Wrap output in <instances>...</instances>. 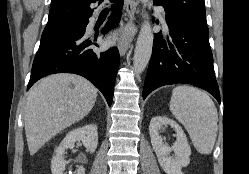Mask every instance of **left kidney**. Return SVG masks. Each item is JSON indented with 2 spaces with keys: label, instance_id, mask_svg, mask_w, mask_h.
Here are the masks:
<instances>
[{
  "label": "left kidney",
  "instance_id": "left-kidney-1",
  "mask_svg": "<svg viewBox=\"0 0 249 174\" xmlns=\"http://www.w3.org/2000/svg\"><path fill=\"white\" fill-rule=\"evenodd\" d=\"M168 125L176 132V141L172 147L165 145L162 136L159 134L162 127ZM149 135L159 164L165 173L183 174L181 170L182 167H186L189 164L191 148L180 125L165 116H156L150 121ZM172 151L175 154L174 157L170 156Z\"/></svg>",
  "mask_w": 249,
  "mask_h": 174
}]
</instances>
